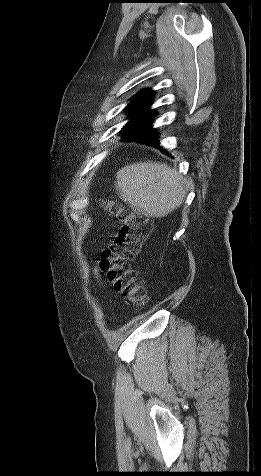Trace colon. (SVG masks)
<instances>
[{
    "mask_svg": "<svg viewBox=\"0 0 261 476\" xmlns=\"http://www.w3.org/2000/svg\"><path fill=\"white\" fill-rule=\"evenodd\" d=\"M102 205L117 224L118 230L102 251L99 267L107 274L114 290L121 293L128 304L141 308L147 301V292L129 263L138 255L143 239L149 235L150 222L145 216L128 211L115 200H106Z\"/></svg>",
    "mask_w": 261,
    "mask_h": 476,
    "instance_id": "obj_1",
    "label": "colon"
}]
</instances>
